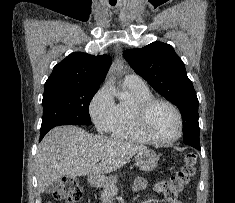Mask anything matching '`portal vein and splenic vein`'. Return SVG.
Instances as JSON below:
<instances>
[{
  "mask_svg": "<svg viewBox=\"0 0 235 203\" xmlns=\"http://www.w3.org/2000/svg\"><path fill=\"white\" fill-rule=\"evenodd\" d=\"M94 162H95V163L99 162V158H96V159L94 160Z\"/></svg>",
  "mask_w": 235,
  "mask_h": 203,
  "instance_id": "obj_1",
  "label": "portal vein and splenic vein"
}]
</instances>
